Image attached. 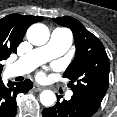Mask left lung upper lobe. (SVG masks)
Listing matches in <instances>:
<instances>
[{"label":"left lung upper lobe","instance_id":"1","mask_svg":"<svg viewBox=\"0 0 117 117\" xmlns=\"http://www.w3.org/2000/svg\"><path fill=\"white\" fill-rule=\"evenodd\" d=\"M53 21L72 30L76 54L63 74L70 80L68 87L99 108L109 86L110 63L102 42L77 19L64 16Z\"/></svg>","mask_w":117,"mask_h":117}]
</instances>
